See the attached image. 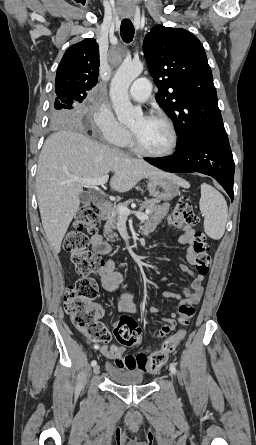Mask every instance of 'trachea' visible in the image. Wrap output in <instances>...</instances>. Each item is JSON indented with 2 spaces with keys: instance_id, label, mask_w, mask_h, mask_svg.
Instances as JSON below:
<instances>
[{
  "instance_id": "obj_1",
  "label": "trachea",
  "mask_w": 256,
  "mask_h": 445,
  "mask_svg": "<svg viewBox=\"0 0 256 445\" xmlns=\"http://www.w3.org/2000/svg\"><path fill=\"white\" fill-rule=\"evenodd\" d=\"M134 26L129 19H124L121 22L120 34L125 43H130L134 37Z\"/></svg>"
}]
</instances>
